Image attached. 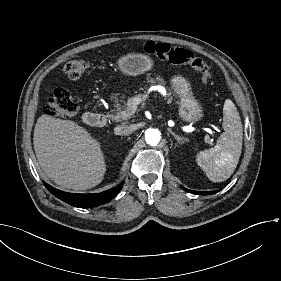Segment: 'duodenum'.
<instances>
[{
    "mask_svg": "<svg viewBox=\"0 0 281 281\" xmlns=\"http://www.w3.org/2000/svg\"><path fill=\"white\" fill-rule=\"evenodd\" d=\"M83 122L90 126H99L105 122V118L93 112H85L82 116Z\"/></svg>",
    "mask_w": 281,
    "mask_h": 281,
    "instance_id": "obj_1",
    "label": "duodenum"
}]
</instances>
